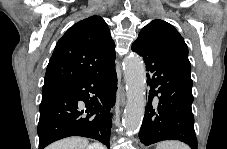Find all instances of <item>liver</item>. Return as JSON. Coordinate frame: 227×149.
Returning <instances> with one entry per match:
<instances>
[{
  "label": "liver",
  "instance_id": "1",
  "mask_svg": "<svg viewBox=\"0 0 227 149\" xmlns=\"http://www.w3.org/2000/svg\"><path fill=\"white\" fill-rule=\"evenodd\" d=\"M88 140L82 137H69L57 141L47 147V149H86ZM101 149H105L100 145Z\"/></svg>",
  "mask_w": 227,
  "mask_h": 149
}]
</instances>
